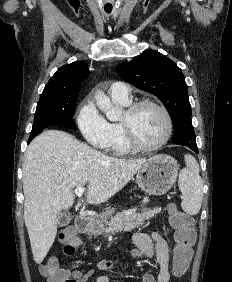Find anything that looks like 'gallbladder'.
I'll list each match as a JSON object with an SVG mask.
<instances>
[{"mask_svg":"<svg viewBox=\"0 0 232 282\" xmlns=\"http://www.w3.org/2000/svg\"><path fill=\"white\" fill-rule=\"evenodd\" d=\"M57 219H58L59 226H66V225L69 224V222L71 220L70 215L66 212H60L58 214Z\"/></svg>","mask_w":232,"mask_h":282,"instance_id":"obj_1","label":"gallbladder"}]
</instances>
